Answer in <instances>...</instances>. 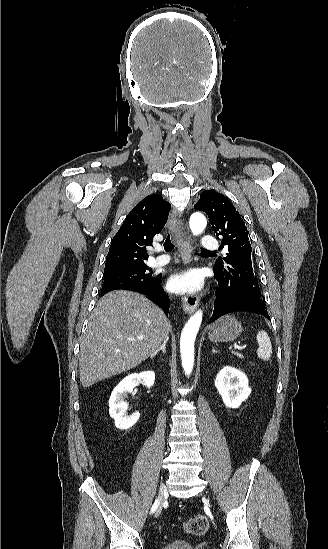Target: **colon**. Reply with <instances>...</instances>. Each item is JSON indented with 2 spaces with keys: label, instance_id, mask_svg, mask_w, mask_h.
Here are the masks:
<instances>
[{
  "label": "colon",
  "instance_id": "obj_1",
  "mask_svg": "<svg viewBox=\"0 0 328 549\" xmlns=\"http://www.w3.org/2000/svg\"><path fill=\"white\" fill-rule=\"evenodd\" d=\"M208 529V520L202 514H196L188 518L184 523L186 533L193 536H201Z\"/></svg>",
  "mask_w": 328,
  "mask_h": 549
}]
</instances>
